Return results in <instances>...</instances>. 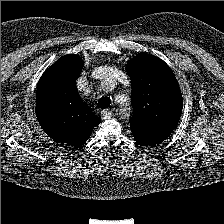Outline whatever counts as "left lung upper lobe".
I'll return each instance as SVG.
<instances>
[{
  "mask_svg": "<svg viewBox=\"0 0 224 224\" xmlns=\"http://www.w3.org/2000/svg\"><path fill=\"white\" fill-rule=\"evenodd\" d=\"M132 83V133L159 144L176 128L183 99L176 77L161 59L141 53L127 63Z\"/></svg>",
  "mask_w": 224,
  "mask_h": 224,
  "instance_id": "1",
  "label": "left lung upper lobe"
}]
</instances>
